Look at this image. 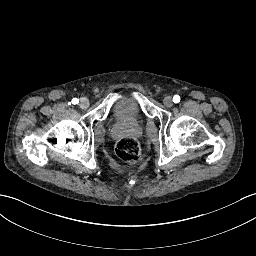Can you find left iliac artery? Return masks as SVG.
<instances>
[{"instance_id": "left-iliac-artery-1", "label": "left iliac artery", "mask_w": 256, "mask_h": 256, "mask_svg": "<svg viewBox=\"0 0 256 256\" xmlns=\"http://www.w3.org/2000/svg\"><path fill=\"white\" fill-rule=\"evenodd\" d=\"M173 102H174V103L180 102V96H179V95H174V97H173Z\"/></svg>"}]
</instances>
